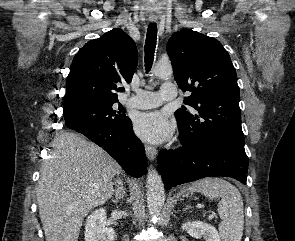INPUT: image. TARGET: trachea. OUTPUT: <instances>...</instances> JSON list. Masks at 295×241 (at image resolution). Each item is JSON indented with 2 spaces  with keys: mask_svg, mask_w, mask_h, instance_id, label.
Listing matches in <instances>:
<instances>
[{
  "mask_svg": "<svg viewBox=\"0 0 295 241\" xmlns=\"http://www.w3.org/2000/svg\"><path fill=\"white\" fill-rule=\"evenodd\" d=\"M156 40H157V26L155 23H150L147 29L146 41H145V69L146 72H149L153 60L154 53L156 48Z\"/></svg>",
  "mask_w": 295,
  "mask_h": 241,
  "instance_id": "1",
  "label": "trachea"
}]
</instances>
